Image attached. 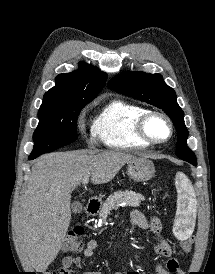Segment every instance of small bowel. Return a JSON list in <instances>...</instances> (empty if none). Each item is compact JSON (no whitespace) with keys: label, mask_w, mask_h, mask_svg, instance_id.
<instances>
[{"label":"small bowel","mask_w":215,"mask_h":274,"mask_svg":"<svg viewBox=\"0 0 215 274\" xmlns=\"http://www.w3.org/2000/svg\"><path fill=\"white\" fill-rule=\"evenodd\" d=\"M131 222L134 226L141 229H150L156 238L155 251L158 255L167 259L165 265L160 263L156 264V274H184L181 273V269L178 261L172 257V249L168 241L162 234V224L157 217H147L139 210H133L130 214ZM98 248V241L91 239L87 242L85 249L82 252L83 258L92 257L96 249ZM64 274H71L72 269L79 267L82 263V257L79 256H66L62 260ZM83 274H102L99 271H88ZM114 274H124L122 272H115ZM131 274V273H128Z\"/></svg>","instance_id":"small-bowel-1"}]
</instances>
